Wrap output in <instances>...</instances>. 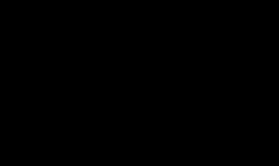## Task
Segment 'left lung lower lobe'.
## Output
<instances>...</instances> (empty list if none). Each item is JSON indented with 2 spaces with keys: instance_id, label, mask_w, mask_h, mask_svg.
Instances as JSON below:
<instances>
[{
  "instance_id": "obj_1",
  "label": "left lung lower lobe",
  "mask_w": 279,
  "mask_h": 166,
  "mask_svg": "<svg viewBox=\"0 0 279 166\" xmlns=\"http://www.w3.org/2000/svg\"><path fill=\"white\" fill-rule=\"evenodd\" d=\"M150 100L162 128L180 139L219 125L236 99L240 61L227 37L189 20L145 53Z\"/></svg>"
}]
</instances>
